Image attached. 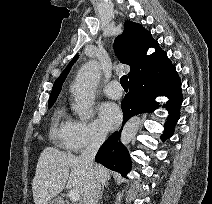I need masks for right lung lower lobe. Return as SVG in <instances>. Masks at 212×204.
<instances>
[{"label": "right lung lower lobe", "instance_id": "1", "mask_svg": "<svg viewBox=\"0 0 212 204\" xmlns=\"http://www.w3.org/2000/svg\"><path fill=\"white\" fill-rule=\"evenodd\" d=\"M158 71L160 73H157ZM181 91V81L172 64L146 73L129 83V93L121 104L124 114L123 123L136 114L153 111L158 107L155 98L166 95L170 99L166 107L171 116L164 125L165 131L161 137L165 141L173 135L174 126L180 117L179 110L183 101ZM121 131L122 128L104 142L95 161L125 176L131 169V159L126 147L119 142Z\"/></svg>", "mask_w": 212, "mask_h": 204}]
</instances>
